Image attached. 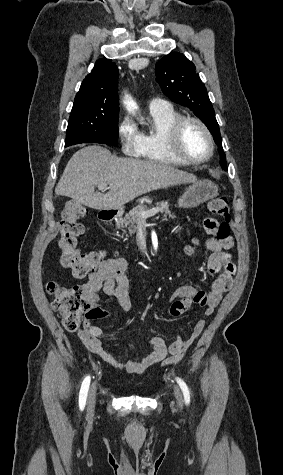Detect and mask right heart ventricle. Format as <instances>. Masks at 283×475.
I'll return each mask as SVG.
<instances>
[{"label": "right heart ventricle", "instance_id": "1", "mask_svg": "<svg viewBox=\"0 0 283 475\" xmlns=\"http://www.w3.org/2000/svg\"><path fill=\"white\" fill-rule=\"evenodd\" d=\"M149 116V122L136 130L142 140L140 157L145 161L165 162L158 152V144L165 137L169 124L181 115L169 104L168 106L149 108Z\"/></svg>", "mask_w": 283, "mask_h": 475}]
</instances>
